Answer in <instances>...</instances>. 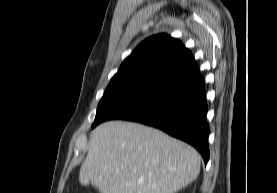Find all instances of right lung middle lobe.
I'll return each instance as SVG.
<instances>
[{"label": "right lung middle lobe", "mask_w": 277, "mask_h": 193, "mask_svg": "<svg viewBox=\"0 0 277 193\" xmlns=\"http://www.w3.org/2000/svg\"><path fill=\"white\" fill-rule=\"evenodd\" d=\"M149 91L133 89H106L99 102L96 117L92 128L103 121L111 119L120 111L135 104L137 101L148 95Z\"/></svg>", "instance_id": "1"}]
</instances>
